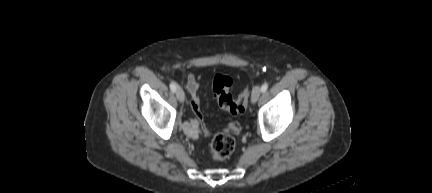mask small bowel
<instances>
[{
	"mask_svg": "<svg viewBox=\"0 0 432 193\" xmlns=\"http://www.w3.org/2000/svg\"><path fill=\"white\" fill-rule=\"evenodd\" d=\"M186 88L191 96V101H190V105H191V109L194 112V114L201 119L202 118V114H201V110H200V97L198 94V90H199V82L198 79L196 78L195 75L190 74L188 79H187V83H186ZM241 130V126L238 122L236 121H232L230 123H228V125L224 128L223 132L227 133V134H237L239 133ZM205 133L209 134V132L205 129Z\"/></svg>",
	"mask_w": 432,
	"mask_h": 193,
	"instance_id": "c3829d8e",
	"label": "small bowel"
}]
</instances>
